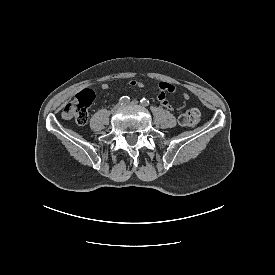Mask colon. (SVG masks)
<instances>
[{
    "mask_svg": "<svg viewBox=\"0 0 275 275\" xmlns=\"http://www.w3.org/2000/svg\"><path fill=\"white\" fill-rule=\"evenodd\" d=\"M94 99L95 92L92 89L82 90L72 102L63 108L62 116L78 125H84L88 119V108ZM200 118L201 110L193 107L180 116L179 122L184 126L193 127L200 121Z\"/></svg>",
    "mask_w": 275,
    "mask_h": 275,
    "instance_id": "5ec220e1",
    "label": "colon"
}]
</instances>
